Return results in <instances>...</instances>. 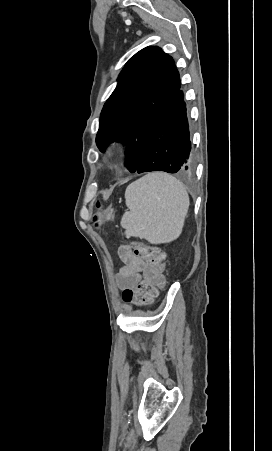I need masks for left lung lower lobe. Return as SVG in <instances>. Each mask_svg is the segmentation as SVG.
<instances>
[{"label":"left lung lower lobe","instance_id":"left-lung-lower-lobe-1","mask_svg":"<svg viewBox=\"0 0 272 451\" xmlns=\"http://www.w3.org/2000/svg\"><path fill=\"white\" fill-rule=\"evenodd\" d=\"M190 132L181 87L161 113L136 172L177 173L193 167Z\"/></svg>","mask_w":272,"mask_h":451}]
</instances>
